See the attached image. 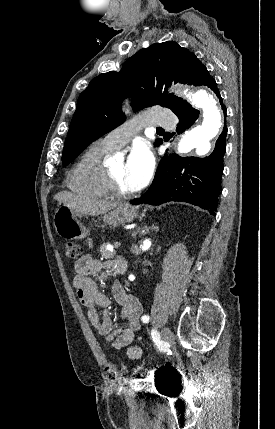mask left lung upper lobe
<instances>
[{
  "mask_svg": "<svg viewBox=\"0 0 275 429\" xmlns=\"http://www.w3.org/2000/svg\"><path fill=\"white\" fill-rule=\"evenodd\" d=\"M204 65L196 55L173 41L155 43L130 57L119 72L95 77L80 94L62 154L68 165L88 145L123 123L120 102L130 95L133 108L160 105L173 112L187 102L167 94L174 83L197 85ZM163 84H166L162 92ZM162 139H156L159 146Z\"/></svg>",
  "mask_w": 275,
  "mask_h": 429,
  "instance_id": "5c2ea615",
  "label": "left lung upper lobe"
}]
</instances>
